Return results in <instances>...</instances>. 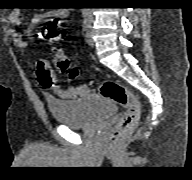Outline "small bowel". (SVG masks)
Returning <instances> with one entry per match:
<instances>
[{
	"mask_svg": "<svg viewBox=\"0 0 192 180\" xmlns=\"http://www.w3.org/2000/svg\"><path fill=\"white\" fill-rule=\"evenodd\" d=\"M67 15L68 11L66 9H56L37 16V21L44 19L50 21H58L65 18ZM9 19L14 25L22 24L21 12L19 10L12 11ZM13 38L14 41L20 46H24L26 44L22 35L19 33H14ZM37 75L40 84L44 88L52 90L54 94L61 99H75L79 96L86 95L89 92L88 88L82 84H78L69 88H63L58 85L51 67L45 61H40L38 63Z\"/></svg>",
	"mask_w": 192,
	"mask_h": 180,
	"instance_id": "1",
	"label": "small bowel"
}]
</instances>
